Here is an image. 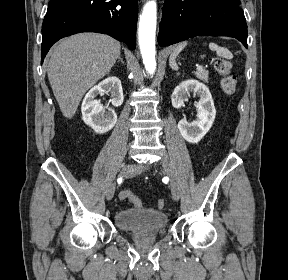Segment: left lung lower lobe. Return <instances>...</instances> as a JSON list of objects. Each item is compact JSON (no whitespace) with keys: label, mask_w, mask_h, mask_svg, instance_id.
I'll list each match as a JSON object with an SVG mask.
<instances>
[{"label":"left lung lower lobe","mask_w":288,"mask_h":280,"mask_svg":"<svg viewBox=\"0 0 288 280\" xmlns=\"http://www.w3.org/2000/svg\"><path fill=\"white\" fill-rule=\"evenodd\" d=\"M229 36L247 45L244 12L235 0H166L159 25L161 47L195 36Z\"/></svg>","instance_id":"obj_1"}]
</instances>
